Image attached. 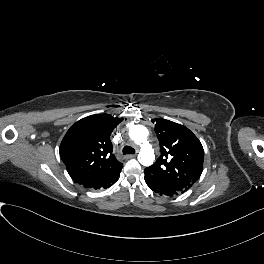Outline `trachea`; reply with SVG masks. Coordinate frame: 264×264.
I'll use <instances>...</instances> for the list:
<instances>
[{"mask_svg": "<svg viewBox=\"0 0 264 264\" xmlns=\"http://www.w3.org/2000/svg\"><path fill=\"white\" fill-rule=\"evenodd\" d=\"M135 153V149L130 147V146H125L123 148V154H134Z\"/></svg>", "mask_w": 264, "mask_h": 264, "instance_id": "obj_1", "label": "trachea"}]
</instances>
